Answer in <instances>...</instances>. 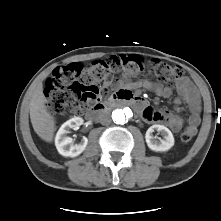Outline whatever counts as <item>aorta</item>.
<instances>
[{
  "label": "aorta",
  "instance_id": "762f6f07",
  "mask_svg": "<svg viewBox=\"0 0 221 221\" xmlns=\"http://www.w3.org/2000/svg\"><path fill=\"white\" fill-rule=\"evenodd\" d=\"M132 115V111L129 108L118 109L112 113V119L116 124H124Z\"/></svg>",
  "mask_w": 221,
  "mask_h": 221
}]
</instances>
